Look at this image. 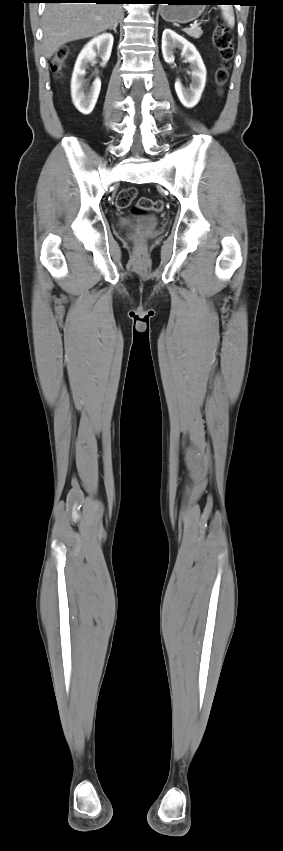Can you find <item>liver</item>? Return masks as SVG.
<instances>
[{
    "label": "liver",
    "mask_w": 283,
    "mask_h": 851,
    "mask_svg": "<svg viewBox=\"0 0 283 851\" xmlns=\"http://www.w3.org/2000/svg\"><path fill=\"white\" fill-rule=\"evenodd\" d=\"M121 15L119 4L48 3L42 26L44 56L51 58L66 43L112 28Z\"/></svg>",
    "instance_id": "liver-1"
}]
</instances>
